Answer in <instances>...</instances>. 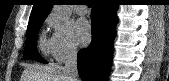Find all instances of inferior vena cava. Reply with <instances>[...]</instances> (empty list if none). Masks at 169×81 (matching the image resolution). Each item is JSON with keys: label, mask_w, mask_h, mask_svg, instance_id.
<instances>
[{"label": "inferior vena cava", "mask_w": 169, "mask_h": 81, "mask_svg": "<svg viewBox=\"0 0 169 81\" xmlns=\"http://www.w3.org/2000/svg\"><path fill=\"white\" fill-rule=\"evenodd\" d=\"M77 47L71 45L65 56L64 71L67 74L70 81H78V70H77Z\"/></svg>", "instance_id": "inferior-vena-cava-1"}]
</instances>
